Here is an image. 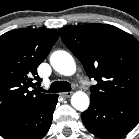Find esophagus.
Returning <instances> with one entry per match:
<instances>
[{"label": "esophagus", "mask_w": 139, "mask_h": 139, "mask_svg": "<svg viewBox=\"0 0 139 139\" xmlns=\"http://www.w3.org/2000/svg\"><path fill=\"white\" fill-rule=\"evenodd\" d=\"M71 95H72L71 91L62 92V96L65 97V98H69V97H71Z\"/></svg>", "instance_id": "1"}]
</instances>
